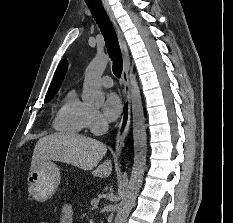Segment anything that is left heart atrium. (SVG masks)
I'll use <instances>...</instances> for the list:
<instances>
[{
    "label": "left heart atrium",
    "mask_w": 233,
    "mask_h": 223,
    "mask_svg": "<svg viewBox=\"0 0 233 223\" xmlns=\"http://www.w3.org/2000/svg\"><path fill=\"white\" fill-rule=\"evenodd\" d=\"M122 110L123 105L119 96L114 93L110 94L103 106V113L105 118L109 122H114L121 116Z\"/></svg>",
    "instance_id": "obj_1"
}]
</instances>
